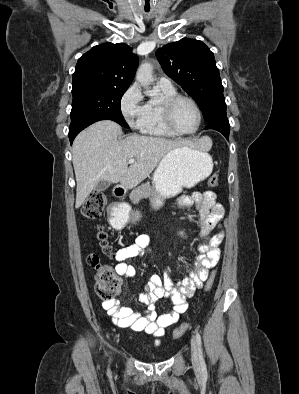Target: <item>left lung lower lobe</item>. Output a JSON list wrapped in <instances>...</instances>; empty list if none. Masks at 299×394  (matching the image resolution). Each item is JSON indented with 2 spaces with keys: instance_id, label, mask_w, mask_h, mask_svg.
I'll return each instance as SVG.
<instances>
[{
  "instance_id": "left-lung-lower-lobe-1",
  "label": "left lung lower lobe",
  "mask_w": 299,
  "mask_h": 394,
  "mask_svg": "<svg viewBox=\"0 0 299 394\" xmlns=\"http://www.w3.org/2000/svg\"><path fill=\"white\" fill-rule=\"evenodd\" d=\"M205 129H213L222 133L226 139L228 140L229 133H230V126L228 120L226 121H216L209 123Z\"/></svg>"
}]
</instances>
